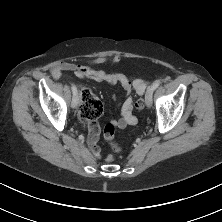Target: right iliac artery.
I'll list each match as a JSON object with an SVG mask.
<instances>
[{"instance_id": "right-iliac-artery-1", "label": "right iliac artery", "mask_w": 222, "mask_h": 222, "mask_svg": "<svg viewBox=\"0 0 222 222\" xmlns=\"http://www.w3.org/2000/svg\"><path fill=\"white\" fill-rule=\"evenodd\" d=\"M71 89H72L73 95H76V94H77V88H76V86L72 84Z\"/></svg>"}]
</instances>
